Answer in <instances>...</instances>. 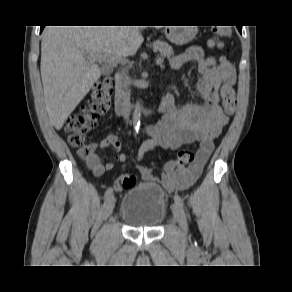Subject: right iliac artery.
Wrapping results in <instances>:
<instances>
[{
	"instance_id": "right-iliac-artery-1",
	"label": "right iliac artery",
	"mask_w": 292,
	"mask_h": 292,
	"mask_svg": "<svg viewBox=\"0 0 292 292\" xmlns=\"http://www.w3.org/2000/svg\"><path fill=\"white\" fill-rule=\"evenodd\" d=\"M113 194L112 188H108L105 192L104 198L108 199Z\"/></svg>"
}]
</instances>
